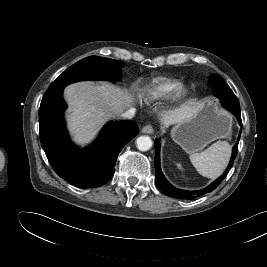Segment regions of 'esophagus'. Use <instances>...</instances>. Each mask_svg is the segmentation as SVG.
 <instances>
[{
	"instance_id": "1",
	"label": "esophagus",
	"mask_w": 267,
	"mask_h": 267,
	"mask_svg": "<svg viewBox=\"0 0 267 267\" xmlns=\"http://www.w3.org/2000/svg\"><path fill=\"white\" fill-rule=\"evenodd\" d=\"M141 131L142 133H145V134H151L153 133V126L150 123H148L142 127Z\"/></svg>"
}]
</instances>
